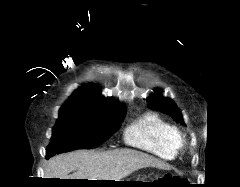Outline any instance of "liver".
Listing matches in <instances>:
<instances>
[{"mask_svg": "<svg viewBox=\"0 0 240 187\" xmlns=\"http://www.w3.org/2000/svg\"><path fill=\"white\" fill-rule=\"evenodd\" d=\"M146 167L167 169L168 166L148 154L131 149L106 152L77 150L48 160L46 178L120 181ZM71 172L73 174L69 175Z\"/></svg>", "mask_w": 240, "mask_h": 187, "instance_id": "liver-1", "label": "liver"}]
</instances>
